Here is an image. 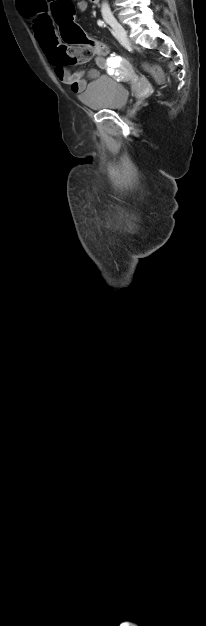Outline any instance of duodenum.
Here are the masks:
<instances>
[{
  "label": "duodenum",
  "instance_id": "410a0bca",
  "mask_svg": "<svg viewBox=\"0 0 206 626\" xmlns=\"http://www.w3.org/2000/svg\"><path fill=\"white\" fill-rule=\"evenodd\" d=\"M92 3H98L99 0H90Z\"/></svg>",
  "mask_w": 206,
  "mask_h": 626
}]
</instances>
